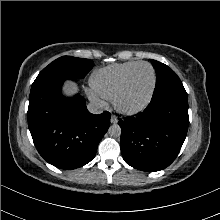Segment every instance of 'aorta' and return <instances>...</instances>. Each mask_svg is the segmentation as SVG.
I'll use <instances>...</instances> for the list:
<instances>
[{"label": "aorta", "instance_id": "obj_1", "mask_svg": "<svg viewBox=\"0 0 220 220\" xmlns=\"http://www.w3.org/2000/svg\"><path fill=\"white\" fill-rule=\"evenodd\" d=\"M108 133L111 137H119L121 135V128L118 124L110 126Z\"/></svg>", "mask_w": 220, "mask_h": 220}]
</instances>
